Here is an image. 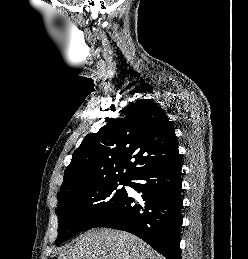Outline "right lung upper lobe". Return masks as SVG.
<instances>
[{"instance_id": "cb5924a9", "label": "right lung upper lobe", "mask_w": 248, "mask_h": 259, "mask_svg": "<svg viewBox=\"0 0 248 259\" xmlns=\"http://www.w3.org/2000/svg\"><path fill=\"white\" fill-rule=\"evenodd\" d=\"M121 113V118L88 134L74 151L58 200L79 186L131 180L142 170L179 155L174 128L156 103L142 99Z\"/></svg>"}]
</instances>
